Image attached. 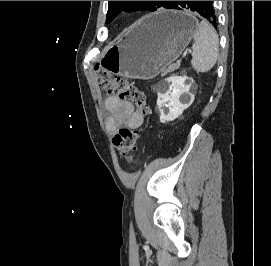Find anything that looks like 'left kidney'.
<instances>
[{"label":"left kidney","mask_w":271,"mask_h":266,"mask_svg":"<svg viewBox=\"0 0 271 266\" xmlns=\"http://www.w3.org/2000/svg\"><path fill=\"white\" fill-rule=\"evenodd\" d=\"M186 79L182 76L168 78L170 83L169 90L166 93L158 94L157 106L162 123L175 120L191 105L192 100L190 102H182L180 99L181 97L191 96V83H186ZM164 107L168 108L167 113H165Z\"/></svg>","instance_id":"1"}]
</instances>
